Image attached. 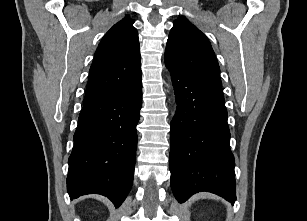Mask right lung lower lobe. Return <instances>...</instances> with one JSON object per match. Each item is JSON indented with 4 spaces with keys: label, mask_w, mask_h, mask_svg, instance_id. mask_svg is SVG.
Listing matches in <instances>:
<instances>
[{
    "label": "right lung lower lobe",
    "mask_w": 307,
    "mask_h": 221,
    "mask_svg": "<svg viewBox=\"0 0 307 221\" xmlns=\"http://www.w3.org/2000/svg\"><path fill=\"white\" fill-rule=\"evenodd\" d=\"M142 80L131 88L83 104L69 157L70 199L97 193L119 207L129 193L136 160Z\"/></svg>",
    "instance_id": "right-lung-lower-lobe-1"
}]
</instances>
